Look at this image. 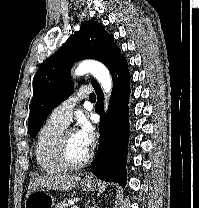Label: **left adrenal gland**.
<instances>
[{
	"instance_id": "1",
	"label": "left adrenal gland",
	"mask_w": 199,
	"mask_h": 208,
	"mask_svg": "<svg viewBox=\"0 0 199 208\" xmlns=\"http://www.w3.org/2000/svg\"><path fill=\"white\" fill-rule=\"evenodd\" d=\"M88 208H97V204L93 205L92 207H88Z\"/></svg>"
}]
</instances>
